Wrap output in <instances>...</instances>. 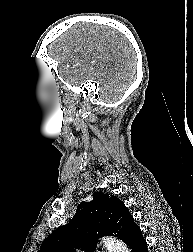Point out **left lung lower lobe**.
<instances>
[{
    "label": "left lung lower lobe",
    "mask_w": 193,
    "mask_h": 252,
    "mask_svg": "<svg viewBox=\"0 0 193 252\" xmlns=\"http://www.w3.org/2000/svg\"><path fill=\"white\" fill-rule=\"evenodd\" d=\"M127 245H129L132 252H148L147 243L138 226L132 231Z\"/></svg>",
    "instance_id": "left-lung-lower-lobe-1"
}]
</instances>
